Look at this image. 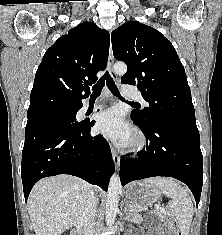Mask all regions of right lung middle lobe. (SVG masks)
<instances>
[{
    "label": "right lung middle lobe",
    "mask_w": 222,
    "mask_h": 235,
    "mask_svg": "<svg viewBox=\"0 0 222 235\" xmlns=\"http://www.w3.org/2000/svg\"><path fill=\"white\" fill-rule=\"evenodd\" d=\"M76 112L74 107H65L59 109L48 116L28 119L25 128L26 139L36 134L53 130V129H68L71 126L77 125Z\"/></svg>",
    "instance_id": "right-lung-middle-lobe-1"
}]
</instances>
